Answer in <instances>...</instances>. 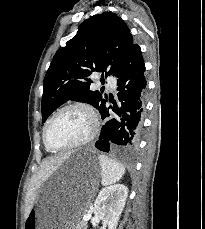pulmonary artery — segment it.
<instances>
[{
    "label": "pulmonary artery",
    "mask_w": 205,
    "mask_h": 229,
    "mask_svg": "<svg viewBox=\"0 0 205 229\" xmlns=\"http://www.w3.org/2000/svg\"><path fill=\"white\" fill-rule=\"evenodd\" d=\"M106 83L111 89H115L116 87V81L113 77H106L105 78Z\"/></svg>",
    "instance_id": "obj_1"
}]
</instances>
